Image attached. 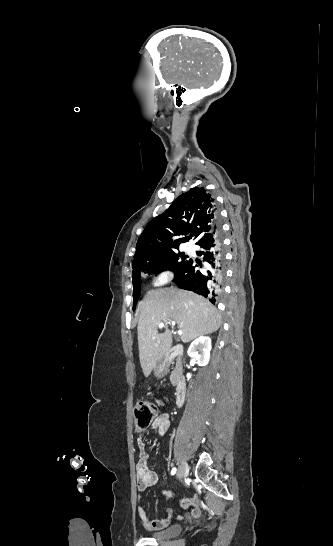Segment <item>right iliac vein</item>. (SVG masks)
I'll return each mask as SVG.
<instances>
[{
	"label": "right iliac vein",
	"instance_id": "right-iliac-vein-1",
	"mask_svg": "<svg viewBox=\"0 0 333 546\" xmlns=\"http://www.w3.org/2000/svg\"><path fill=\"white\" fill-rule=\"evenodd\" d=\"M189 468L186 462H182L177 472V478L182 479L188 474Z\"/></svg>",
	"mask_w": 333,
	"mask_h": 546
}]
</instances>
